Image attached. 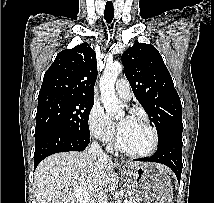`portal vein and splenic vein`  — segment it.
I'll use <instances>...</instances> for the list:
<instances>
[{
    "mask_svg": "<svg viewBox=\"0 0 214 203\" xmlns=\"http://www.w3.org/2000/svg\"><path fill=\"white\" fill-rule=\"evenodd\" d=\"M74 194L84 202H89L91 200V196L88 194L86 189H78L74 192ZM125 203H128L127 199H125Z\"/></svg>",
    "mask_w": 214,
    "mask_h": 203,
    "instance_id": "18ae733b",
    "label": "portal vein and splenic vein"
}]
</instances>
